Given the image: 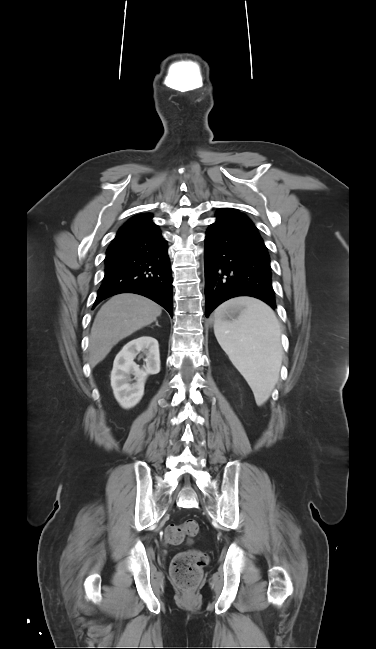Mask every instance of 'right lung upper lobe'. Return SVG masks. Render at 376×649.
Returning a JSON list of instances; mask_svg holds the SVG:
<instances>
[{"mask_svg": "<svg viewBox=\"0 0 376 649\" xmlns=\"http://www.w3.org/2000/svg\"><path fill=\"white\" fill-rule=\"evenodd\" d=\"M157 229H159V227L152 222V214H139L130 218L119 229L113 241H118L132 236L148 233Z\"/></svg>", "mask_w": 376, "mask_h": 649, "instance_id": "right-lung-upper-lobe-1", "label": "right lung upper lobe"}]
</instances>
